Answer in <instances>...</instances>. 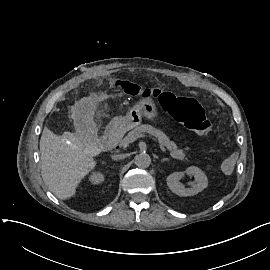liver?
Wrapping results in <instances>:
<instances>
[{
	"mask_svg": "<svg viewBox=\"0 0 270 270\" xmlns=\"http://www.w3.org/2000/svg\"><path fill=\"white\" fill-rule=\"evenodd\" d=\"M97 149L83 143L67 144L44 127L40 139L41 173L49 190L59 199L75 194L77 184L95 167Z\"/></svg>",
	"mask_w": 270,
	"mask_h": 270,
	"instance_id": "6515ba94",
	"label": "liver"
}]
</instances>
